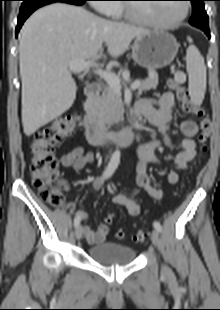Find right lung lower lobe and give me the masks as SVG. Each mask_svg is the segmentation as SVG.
<instances>
[{
	"label": "right lung lower lobe",
	"mask_w": 220,
	"mask_h": 310,
	"mask_svg": "<svg viewBox=\"0 0 220 310\" xmlns=\"http://www.w3.org/2000/svg\"><path fill=\"white\" fill-rule=\"evenodd\" d=\"M86 0H31V1H23L19 16H18V24L16 27V36L23 25L24 21L39 7L44 5L54 3V2H64L74 5H82Z\"/></svg>",
	"instance_id": "1"
}]
</instances>
